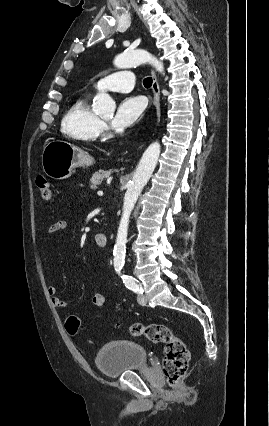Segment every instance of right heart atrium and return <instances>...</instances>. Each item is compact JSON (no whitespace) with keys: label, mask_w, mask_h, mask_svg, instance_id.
Segmentation results:
<instances>
[{"label":"right heart atrium","mask_w":269,"mask_h":426,"mask_svg":"<svg viewBox=\"0 0 269 426\" xmlns=\"http://www.w3.org/2000/svg\"><path fill=\"white\" fill-rule=\"evenodd\" d=\"M107 130H108L107 125L105 123H101L100 134H106Z\"/></svg>","instance_id":"obj_1"}]
</instances>
